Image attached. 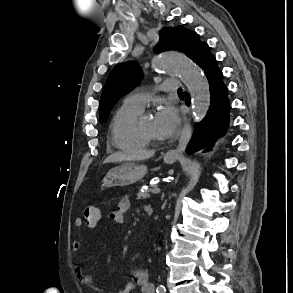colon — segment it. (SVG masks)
<instances>
[{"instance_id": "colon-1", "label": "colon", "mask_w": 293, "mask_h": 293, "mask_svg": "<svg viewBox=\"0 0 293 293\" xmlns=\"http://www.w3.org/2000/svg\"><path fill=\"white\" fill-rule=\"evenodd\" d=\"M82 216L87 225L95 226L100 219V210L94 205H87L83 210Z\"/></svg>"}]
</instances>
